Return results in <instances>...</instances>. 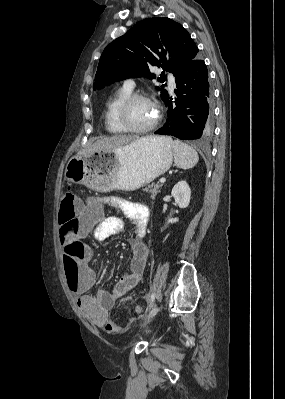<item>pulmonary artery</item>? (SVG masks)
I'll use <instances>...</instances> for the list:
<instances>
[{
    "label": "pulmonary artery",
    "instance_id": "obj_1",
    "mask_svg": "<svg viewBox=\"0 0 285 399\" xmlns=\"http://www.w3.org/2000/svg\"><path fill=\"white\" fill-rule=\"evenodd\" d=\"M167 78L169 80V88L170 90H174L175 89V81L174 78L171 75H167ZM123 87H125L126 89L132 91L135 87V83L132 79H128L124 82Z\"/></svg>",
    "mask_w": 285,
    "mask_h": 399
}]
</instances>
